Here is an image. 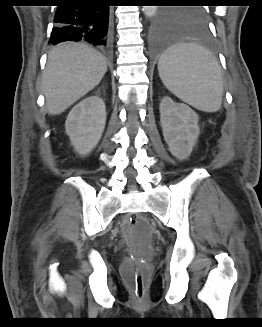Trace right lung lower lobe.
<instances>
[{
  "mask_svg": "<svg viewBox=\"0 0 262 327\" xmlns=\"http://www.w3.org/2000/svg\"><path fill=\"white\" fill-rule=\"evenodd\" d=\"M54 18L50 42L86 41L100 49L110 48L112 33L109 6L103 0H63Z\"/></svg>",
  "mask_w": 262,
  "mask_h": 327,
  "instance_id": "98d812e1",
  "label": "right lung lower lobe"
}]
</instances>
